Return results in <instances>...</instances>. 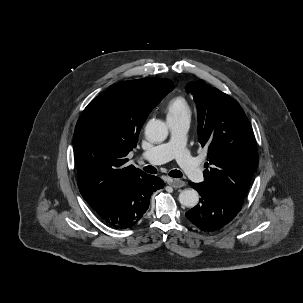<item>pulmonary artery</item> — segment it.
Segmentation results:
<instances>
[{
	"label": "pulmonary artery",
	"mask_w": 303,
	"mask_h": 303,
	"mask_svg": "<svg viewBox=\"0 0 303 303\" xmlns=\"http://www.w3.org/2000/svg\"><path fill=\"white\" fill-rule=\"evenodd\" d=\"M168 124L171 132L169 140L145 151L141 157L152 164H162L176 159L191 180L202 182L204 180L203 172L185 147L190 118L170 120Z\"/></svg>",
	"instance_id": "e3ab8cb5"
}]
</instances>
